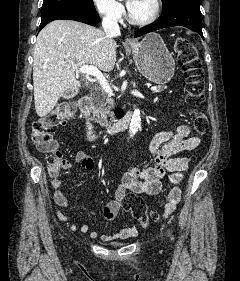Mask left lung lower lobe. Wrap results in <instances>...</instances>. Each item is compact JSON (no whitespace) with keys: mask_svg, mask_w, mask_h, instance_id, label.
Wrapping results in <instances>:
<instances>
[{"mask_svg":"<svg viewBox=\"0 0 240 281\" xmlns=\"http://www.w3.org/2000/svg\"><path fill=\"white\" fill-rule=\"evenodd\" d=\"M162 11V15L154 23L138 30L135 37L162 28L184 26L199 33L203 38L200 0H175Z\"/></svg>","mask_w":240,"mask_h":281,"instance_id":"1","label":"left lung lower lobe"}]
</instances>
